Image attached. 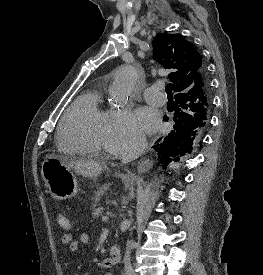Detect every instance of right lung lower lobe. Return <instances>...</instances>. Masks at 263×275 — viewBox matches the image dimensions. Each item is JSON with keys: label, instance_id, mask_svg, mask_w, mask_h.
Wrapping results in <instances>:
<instances>
[{"label": "right lung lower lobe", "instance_id": "1", "mask_svg": "<svg viewBox=\"0 0 263 275\" xmlns=\"http://www.w3.org/2000/svg\"><path fill=\"white\" fill-rule=\"evenodd\" d=\"M201 75L208 80L205 69L201 71ZM185 100L183 95L175 96V114L172 118L174 129L164 137L162 143L153 146L164 166L172 161L173 156L191 153L208 123V117L200 112L201 109H192L184 104ZM164 120L167 121L168 117L165 116ZM177 160L178 157L174 158V161Z\"/></svg>", "mask_w": 263, "mask_h": 275}]
</instances>
